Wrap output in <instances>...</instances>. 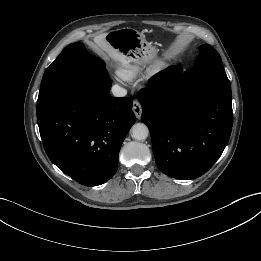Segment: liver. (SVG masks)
I'll use <instances>...</instances> for the list:
<instances>
[{
	"label": "liver",
	"instance_id": "1",
	"mask_svg": "<svg viewBox=\"0 0 261 261\" xmlns=\"http://www.w3.org/2000/svg\"><path fill=\"white\" fill-rule=\"evenodd\" d=\"M106 34L107 33H102L94 37V47L101 52H105L113 60L118 61L121 64H126L127 62H129L119 51L114 49L106 41Z\"/></svg>",
	"mask_w": 261,
	"mask_h": 261
}]
</instances>
